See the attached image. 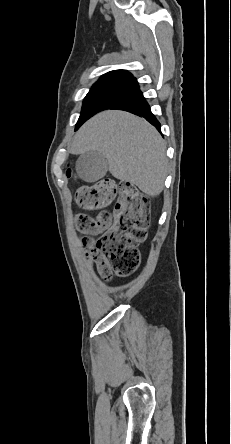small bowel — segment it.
Here are the masks:
<instances>
[{
	"label": "small bowel",
	"mask_w": 231,
	"mask_h": 444,
	"mask_svg": "<svg viewBox=\"0 0 231 444\" xmlns=\"http://www.w3.org/2000/svg\"><path fill=\"white\" fill-rule=\"evenodd\" d=\"M87 264L91 269H96L98 273L103 275L107 271V266L99 253L90 250L87 252Z\"/></svg>",
	"instance_id": "small-bowel-1"
}]
</instances>
